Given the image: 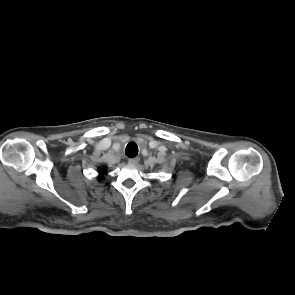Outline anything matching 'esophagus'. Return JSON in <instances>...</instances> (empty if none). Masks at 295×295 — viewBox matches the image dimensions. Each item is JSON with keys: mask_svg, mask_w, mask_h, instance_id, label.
<instances>
[{"mask_svg": "<svg viewBox=\"0 0 295 295\" xmlns=\"http://www.w3.org/2000/svg\"><path fill=\"white\" fill-rule=\"evenodd\" d=\"M139 158L138 157H135V158H130V159H128V163L129 164H132V165H136V164H138L139 163Z\"/></svg>", "mask_w": 295, "mask_h": 295, "instance_id": "1", "label": "esophagus"}]
</instances>
